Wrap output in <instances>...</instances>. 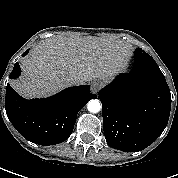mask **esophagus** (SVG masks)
<instances>
[{
    "mask_svg": "<svg viewBox=\"0 0 178 178\" xmlns=\"http://www.w3.org/2000/svg\"><path fill=\"white\" fill-rule=\"evenodd\" d=\"M103 82L100 80H94L91 84V91L93 93H97L99 89L102 87Z\"/></svg>",
    "mask_w": 178,
    "mask_h": 178,
    "instance_id": "34e87169",
    "label": "esophagus"
}]
</instances>
